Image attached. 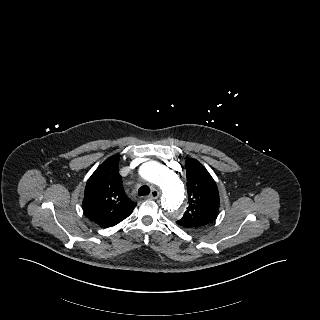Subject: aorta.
<instances>
[{"label":"aorta","mask_w":320,"mask_h":320,"mask_svg":"<svg viewBox=\"0 0 320 320\" xmlns=\"http://www.w3.org/2000/svg\"><path fill=\"white\" fill-rule=\"evenodd\" d=\"M139 174L148 182L157 185L163 192L162 206L171 217L183 215L184 187L177 173L166 166L149 161L139 168Z\"/></svg>","instance_id":"762f6f07"}]
</instances>
